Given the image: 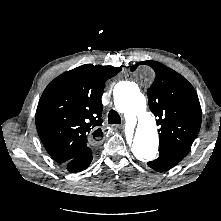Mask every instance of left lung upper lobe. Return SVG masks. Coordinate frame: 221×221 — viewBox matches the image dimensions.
Listing matches in <instances>:
<instances>
[{
	"label": "left lung upper lobe",
	"instance_id": "left-lung-upper-lobe-1",
	"mask_svg": "<svg viewBox=\"0 0 221 221\" xmlns=\"http://www.w3.org/2000/svg\"><path fill=\"white\" fill-rule=\"evenodd\" d=\"M140 64L151 66L156 78L148 90L149 108L160 126V149L187 154L197 137L202 120L201 106L193 86L169 67L152 60Z\"/></svg>",
	"mask_w": 221,
	"mask_h": 221
}]
</instances>
